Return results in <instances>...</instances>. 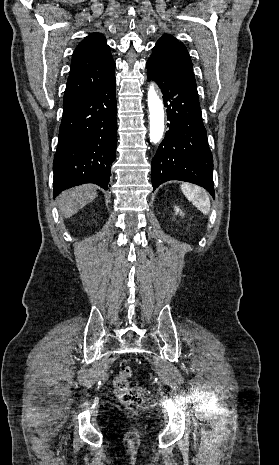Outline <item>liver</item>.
I'll use <instances>...</instances> for the list:
<instances>
[{"mask_svg": "<svg viewBox=\"0 0 279 465\" xmlns=\"http://www.w3.org/2000/svg\"><path fill=\"white\" fill-rule=\"evenodd\" d=\"M96 196L97 192L94 185H81L62 192L57 199L58 208L65 218H69L92 202Z\"/></svg>", "mask_w": 279, "mask_h": 465, "instance_id": "6515ba94", "label": "liver"}]
</instances>
